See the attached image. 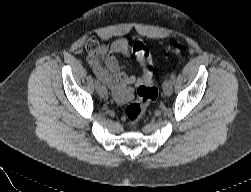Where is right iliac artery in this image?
<instances>
[{"label": "right iliac artery", "instance_id": "1", "mask_svg": "<svg viewBox=\"0 0 251 192\" xmlns=\"http://www.w3.org/2000/svg\"><path fill=\"white\" fill-rule=\"evenodd\" d=\"M100 86V82H99V80H95V87H96V89H98V87Z\"/></svg>", "mask_w": 251, "mask_h": 192}]
</instances>
